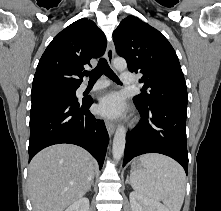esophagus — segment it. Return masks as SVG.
I'll return each mask as SVG.
<instances>
[{
    "mask_svg": "<svg viewBox=\"0 0 221 211\" xmlns=\"http://www.w3.org/2000/svg\"><path fill=\"white\" fill-rule=\"evenodd\" d=\"M114 55H115L114 45H113V42L110 41L108 42V45H107L106 59L111 67H113ZM105 126L107 128L109 135H112L115 131V124L109 120H106Z\"/></svg>",
    "mask_w": 221,
    "mask_h": 211,
    "instance_id": "1",
    "label": "esophagus"
}]
</instances>
